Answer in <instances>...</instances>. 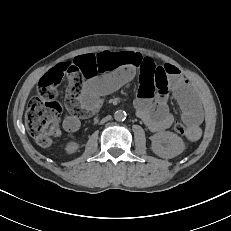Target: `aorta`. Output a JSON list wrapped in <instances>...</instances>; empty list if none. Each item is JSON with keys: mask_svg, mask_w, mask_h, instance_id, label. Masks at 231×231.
Masks as SVG:
<instances>
[{"mask_svg": "<svg viewBox=\"0 0 231 231\" xmlns=\"http://www.w3.org/2000/svg\"><path fill=\"white\" fill-rule=\"evenodd\" d=\"M114 118L116 121H123L126 118V112L123 110L116 111L114 113Z\"/></svg>", "mask_w": 231, "mask_h": 231, "instance_id": "1", "label": "aorta"}]
</instances>
